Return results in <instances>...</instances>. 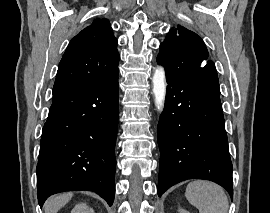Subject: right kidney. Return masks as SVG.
Masks as SVG:
<instances>
[{
	"instance_id": "obj_1",
	"label": "right kidney",
	"mask_w": 270,
	"mask_h": 213,
	"mask_svg": "<svg viewBox=\"0 0 270 213\" xmlns=\"http://www.w3.org/2000/svg\"><path fill=\"white\" fill-rule=\"evenodd\" d=\"M71 213H94V210L85 203L77 204Z\"/></svg>"
}]
</instances>
